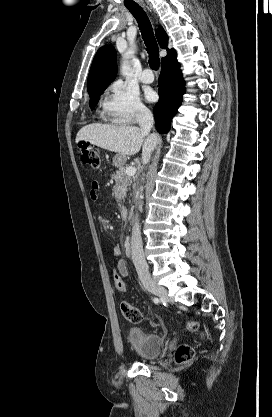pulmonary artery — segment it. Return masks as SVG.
<instances>
[{
  "instance_id": "1",
  "label": "pulmonary artery",
  "mask_w": 272,
  "mask_h": 417,
  "mask_svg": "<svg viewBox=\"0 0 272 417\" xmlns=\"http://www.w3.org/2000/svg\"><path fill=\"white\" fill-rule=\"evenodd\" d=\"M140 80L143 83H152L154 80L152 71L150 69H144L140 75Z\"/></svg>"
}]
</instances>
